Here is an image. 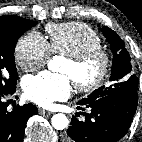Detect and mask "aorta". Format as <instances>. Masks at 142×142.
<instances>
[{
  "label": "aorta",
  "mask_w": 142,
  "mask_h": 142,
  "mask_svg": "<svg viewBox=\"0 0 142 142\" xmlns=\"http://www.w3.org/2000/svg\"><path fill=\"white\" fill-rule=\"evenodd\" d=\"M59 63H60V58L57 56L53 57V59L48 62L49 70L53 72L57 71ZM51 122H52V126L57 130L65 129L69 123L67 116L62 113L55 114L52 117Z\"/></svg>",
  "instance_id": "762f6f07"
}]
</instances>
